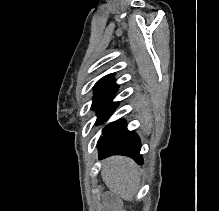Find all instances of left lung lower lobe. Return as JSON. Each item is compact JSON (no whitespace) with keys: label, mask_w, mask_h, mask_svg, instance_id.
<instances>
[{"label":"left lung lower lobe","mask_w":219,"mask_h":211,"mask_svg":"<svg viewBox=\"0 0 219 211\" xmlns=\"http://www.w3.org/2000/svg\"><path fill=\"white\" fill-rule=\"evenodd\" d=\"M140 145L141 142L137 134L128 131L126 122L121 120L111 132L99 139V159L111 155H124L133 158L138 164H143Z\"/></svg>","instance_id":"left-lung-lower-lobe-1"}]
</instances>
